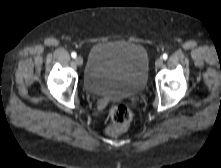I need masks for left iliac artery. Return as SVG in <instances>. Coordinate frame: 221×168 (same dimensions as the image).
<instances>
[{
	"mask_svg": "<svg viewBox=\"0 0 221 168\" xmlns=\"http://www.w3.org/2000/svg\"><path fill=\"white\" fill-rule=\"evenodd\" d=\"M162 58H163L164 60H166V59L168 58V55H167L166 53H164L163 56H162Z\"/></svg>",
	"mask_w": 221,
	"mask_h": 168,
	"instance_id": "1",
	"label": "left iliac artery"
}]
</instances>
